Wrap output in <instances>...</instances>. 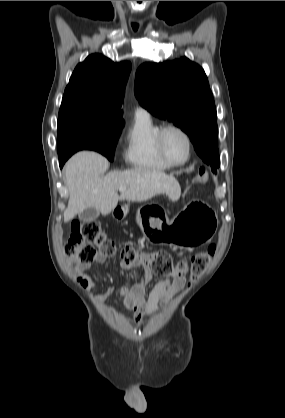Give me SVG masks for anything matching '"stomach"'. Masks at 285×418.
<instances>
[{
  "label": "stomach",
  "mask_w": 285,
  "mask_h": 418,
  "mask_svg": "<svg viewBox=\"0 0 285 418\" xmlns=\"http://www.w3.org/2000/svg\"><path fill=\"white\" fill-rule=\"evenodd\" d=\"M137 223L144 235L155 240L164 237L168 242L183 247H192L212 239L217 221L215 213L199 201L189 202L172 220L155 225V216L147 207L139 209Z\"/></svg>",
  "instance_id": "obj_1"
}]
</instances>
